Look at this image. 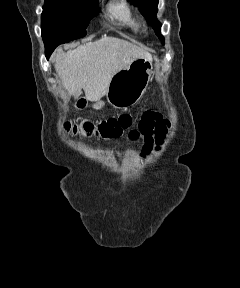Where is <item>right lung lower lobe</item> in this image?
Instances as JSON below:
<instances>
[{
	"instance_id": "right-lung-lower-lobe-1",
	"label": "right lung lower lobe",
	"mask_w": 240,
	"mask_h": 288,
	"mask_svg": "<svg viewBox=\"0 0 240 288\" xmlns=\"http://www.w3.org/2000/svg\"><path fill=\"white\" fill-rule=\"evenodd\" d=\"M53 50H54L53 48H45V55H46L47 59L49 58V56L51 55Z\"/></svg>"
}]
</instances>
